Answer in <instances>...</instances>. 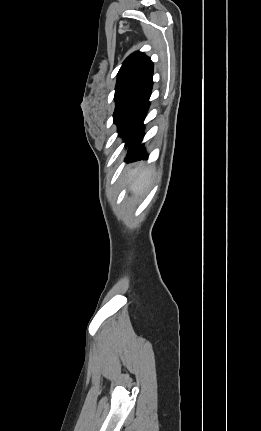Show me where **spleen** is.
I'll list each match as a JSON object with an SVG mask.
<instances>
[{"instance_id": "spleen-1", "label": "spleen", "mask_w": 261, "mask_h": 431, "mask_svg": "<svg viewBox=\"0 0 261 431\" xmlns=\"http://www.w3.org/2000/svg\"><path fill=\"white\" fill-rule=\"evenodd\" d=\"M152 170L139 171L135 170L129 177L131 182V189L136 193L144 192L150 184L152 177Z\"/></svg>"}]
</instances>
